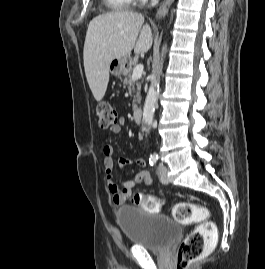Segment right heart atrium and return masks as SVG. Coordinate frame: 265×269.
I'll list each match as a JSON object with an SVG mask.
<instances>
[{
	"instance_id": "d8ad5b80",
	"label": "right heart atrium",
	"mask_w": 265,
	"mask_h": 269,
	"mask_svg": "<svg viewBox=\"0 0 265 269\" xmlns=\"http://www.w3.org/2000/svg\"><path fill=\"white\" fill-rule=\"evenodd\" d=\"M135 1H139V2H141V1H146V0H135Z\"/></svg>"
}]
</instances>
